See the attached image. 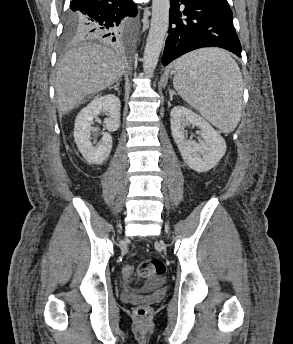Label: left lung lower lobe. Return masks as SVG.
I'll list each match as a JSON object with an SVG mask.
<instances>
[{"mask_svg":"<svg viewBox=\"0 0 293 344\" xmlns=\"http://www.w3.org/2000/svg\"><path fill=\"white\" fill-rule=\"evenodd\" d=\"M162 63L202 47H220L241 57V44L227 0H171ZM184 5L182 7L181 5ZM185 15V19L180 17Z\"/></svg>","mask_w":293,"mask_h":344,"instance_id":"0a47b994","label":"left lung lower lobe"}]
</instances>
